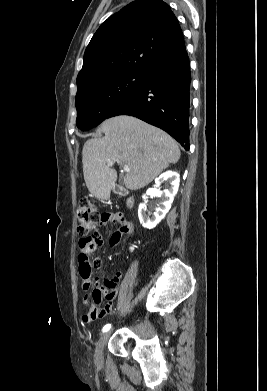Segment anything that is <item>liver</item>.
Returning <instances> with one entry per match:
<instances>
[{"label": "liver", "mask_w": 267, "mask_h": 391, "mask_svg": "<svg viewBox=\"0 0 267 391\" xmlns=\"http://www.w3.org/2000/svg\"><path fill=\"white\" fill-rule=\"evenodd\" d=\"M100 130L105 136L87 140L82 150L84 180L89 192L98 199H108L117 180L109 160L128 165L124 184L138 190L180 158L178 144L171 136L135 117L106 119Z\"/></svg>", "instance_id": "liver-1"}]
</instances>
